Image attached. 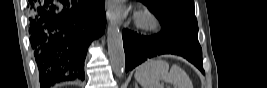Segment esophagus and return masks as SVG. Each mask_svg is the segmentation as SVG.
<instances>
[{
    "label": "esophagus",
    "mask_w": 267,
    "mask_h": 88,
    "mask_svg": "<svg viewBox=\"0 0 267 88\" xmlns=\"http://www.w3.org/2000/svg\"><path fill=\"white\" fill-rule=\"evenodd\" d=\"M107 19L109 20V22H112L114 19L112 17V15L110 14V12L107 10Z\"/></svg>",
    "instance_id": "esophagus-1"
}]
</instances>
